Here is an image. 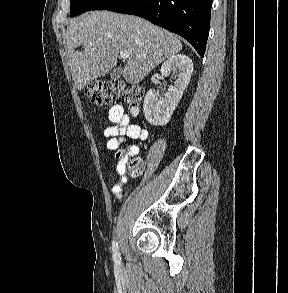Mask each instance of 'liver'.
Masks as SVG:
<instances>
[{"label":"liver","mask_w":288,"mask_h":293,"mask_svg":"<svg viewBox=\"0 0 288 293\" xmlns=\"http://www.w3.org/2000/svg\"><path fill=\"white\" fill-rule=\"evenodd\" d=\"M65 36L69 66L78 90L108 74L117 64L120 51L130 54L122 70L124 79L138 84L157 65L182 50L180 40L167 30L140 17L107 10L74 19ZM79 47L83 50H76Z\"/></svg>","instance_id":"obj_1"}]
</instances>
